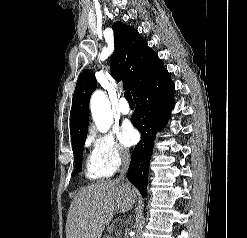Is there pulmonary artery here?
<instances>
[{"mask_svg":"<svg viewBox=\"0 0 247 238\" xmlns=\"http://www.w3.org/2000/svg\"><path fill=\"white\" fill-rule=\"evenodd\" d=\"M118 111L121 114L127 115L130 113V107L125 98H121L118 104Z\"/></svg>","mask_w":247,"mask_h":238,"instance_id":"pulmonary-artery-1","label":"pulmonary artery"}]
</instances>
